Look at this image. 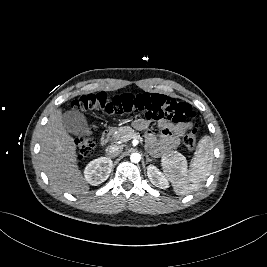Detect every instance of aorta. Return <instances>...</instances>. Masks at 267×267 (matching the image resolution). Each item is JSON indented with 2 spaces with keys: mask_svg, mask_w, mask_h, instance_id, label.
Returning a JSON list of instances; mask_svg holds the SVG:
<instances>
[{
  "mask_svg": "<svg viewBox=\"0 0 267 267\" xmlns=\"http://www.w3.org/2000/svg\"><path fill=\"white\" fill-rule=\"evenodd\" d=\"M130 160L133 163H138L141 160V155L139 153H132L130 156Z\"/></svg>",
  "mask_w": 267,
  "mask_h": 267,
  "instance_id": "1",
  "label": "aorta"
}]
</instances>
